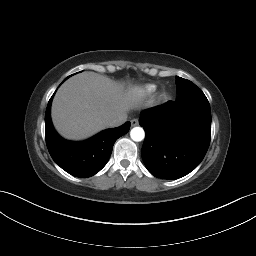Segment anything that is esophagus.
<instances>
[{
	"label": "esophagus",
	"instance_id": "1",
	"mask_svg": "<svg viewBox=\"0 0 256 256\" xmlns=\"http://www.w3.org/2000/svg\"><path fill=\"white\" fill-rule=\"evenodd\" d=\"M131 125L132 126H137L138 125V120L137 119H132L131 120Z\"/></svg>",
	"mask_w": 256,
	"mask_h": 256
}]
</instances>
